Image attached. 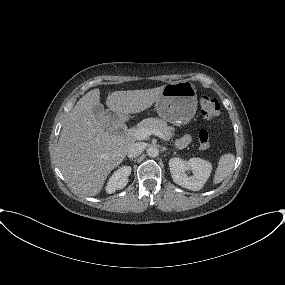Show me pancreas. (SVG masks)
Returning <instances> with one entry per match:
<instances>
[{"mask_svg": "<svg viewBox=\"0 0 285 285\" xmlns=\"http://www.w3.org/2000/svg\"><path fill=\"white\" fill-rule=\"evenodd\" d=\"M142 128L158 129L163 133L164 139L168 141L174 135V128L171 126H168V124L164 120L158 119V118H147V119L142 120L141 122L137 124L136 127H133L128 130V135L132 138H135L133 136L134 131L138 129H142Z\"/></svg>", "mask_w": 285, "mask_h": 285, "instance_id": "obj_1", "label": "pancreas"}]
</instances>
